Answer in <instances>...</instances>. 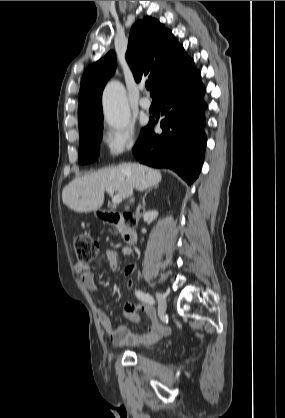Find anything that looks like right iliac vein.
Returning <instances> with one entry per match:
<instances>
[{
	"label": "right iliac vein",
	"instance_id": "obj_1",
	"mask_svg": "<svg viewBox=\"0 0 285 418\" xmlns=\"http://www.w3.org/2000/svg\"><path fill=\"white\" fill-rule=\"evenodd\" d=\"M156 297L158 300V314L160 317H163L165 315V311L167 308V302H166V298L165 296L160 293V292H156Z\"/></svg>",
	"mask_w": 285,
	"mask_h": 418
}]
</instances>
